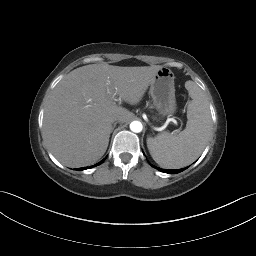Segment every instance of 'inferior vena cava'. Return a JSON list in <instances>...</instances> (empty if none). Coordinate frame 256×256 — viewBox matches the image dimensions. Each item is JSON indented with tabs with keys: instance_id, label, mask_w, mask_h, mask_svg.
Segmentation results:
<instances>
[{
	"instance_id": "inferior-vena-cava-1",
	"label": "inferior vena cava",
	"mask_w": 256,
	"mask_h": 256,
	"mask_svg": "<svg viewBox=\"0 0 256 256\" xmlns=\"http://www.w3.org/2000/svg\"><path fill=\"white\" fill-rule=\"evenodd\" d=\"M111 120H112V122H115V121L119 122L120 121V117L118 115H114V116H112Z\"/></svg>"
}]
</instances>
